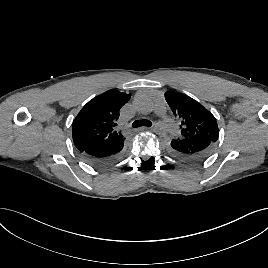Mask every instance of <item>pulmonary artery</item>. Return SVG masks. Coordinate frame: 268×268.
<instances>
[{
  "label": "pulmonary artery",
  "mask_w": 268,
  "mask_h": 268,
  "mask_svg": "<svg viewBox=\"0 0 268 268\" xmlns=\"http://www.w3.org/2000/svg\"><path fill=\"white\" fill-rule=\"evenodd\" d=\"M157 112H158V114L161 115L162 120H163L164 124L166 125V127L168 128V130L170 132H175L176 125L173 123L172 119L169 116H167L160 108H157Z\"/></svg>",
  "instance_id": "1"
}]
</instances>
